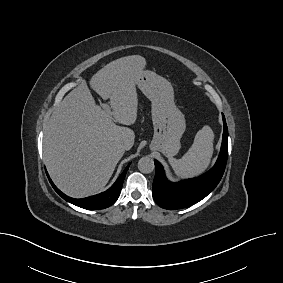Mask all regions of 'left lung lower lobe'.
<instances>
[{
    "instance_id": "1",
    "label": "left lung lower lobe",
    "mask_w": 283,
    "mask_h": 283,
    "mask_svg": "<svg viewBox=\"0 0 283 283\" xmlns=\"http://www.w3.org/2000/svg\"><path fill=\"white\" fill-rule=\"evenodd\" d=\"M223 139L219 157L214 167L200 177L172 183L165 177L162 165L155 161L153 198L162 208L176 210L189 207L211 193L220 182L228 157V128L224 115Z\"/></svg>"
}]
</instances>
